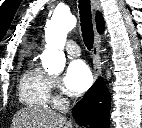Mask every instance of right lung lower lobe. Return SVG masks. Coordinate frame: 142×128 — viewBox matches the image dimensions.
<instances>
[{
  "mask_svg": "<svg viewBox=\"0 0 142 128\" xmlns=\"http://www.w3.org/2000/svg\"><path fill=\"white\" fill-rule=\"evenodd\" d=\"M111 97L102 78L87 91L84 98L72 110V115L80 125L94 128H109Z\"/></svg>",
  "mask_w": 142,
  "mask_h": 128,
  "instance_id": "98d812e1",
  "label": "right lung lower lobe"
}]
</instances>
